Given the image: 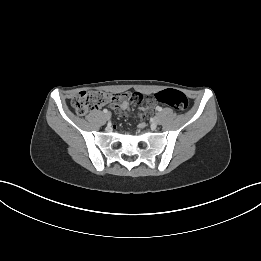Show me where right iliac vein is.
Here are the masks:
<instances>
[{"label":"right iliac vein","instance_id":"1","mask_svg":"<svg viewBox=\"0 0 261 261\" xmlns=\"http://www.w3.org/2000/svg\"><path fill=\"white\" fill-rule=\"evenodd\" d=\"M105 118H106L107 120H109V119L111 118V113H110V112H107V113L105 114Z\"/></svg>","mask_w":261,"mask_h":261}]
</instances>
